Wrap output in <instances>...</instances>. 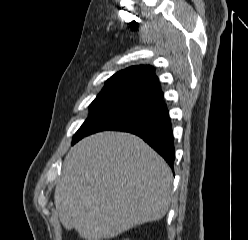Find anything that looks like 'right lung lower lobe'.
<instances>
[{
	"instance_id": "right-lung-lower-lobe-1",
	"label": "right lung lower lobe",
	"mask_w": 248,
	"mask_h": 240,
	"mask_svg": "<svg viewBox=\"0 0 248 240\" xmlns=\"http://www.w3.org/2000/svg\"><path fill=\"white\" fill-rule=\"evenodd\" d=\"M105 130L124 131L139 136L173 168L174 138L163 94L137 101L118 110L102 119L83 137Z\"/></svg>"
}]
</instances>
